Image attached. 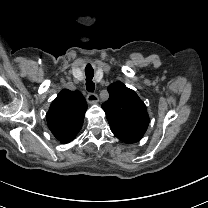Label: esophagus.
Segmentation results:
<instances>
[{"mask_svg": "<svg viewBox=\"0 0 208 208\" xmlns=\"http://www.w3.org/2000/svg\"><path fill=\"white\" fill-rule=\"evenodd\" d=\"M99 101V97L96 94L90 93L87 95V102L89 104H96Z\"/></svg>", "mask_w": 208, "mask_h": 208, "instance_id": "esophagus-1", "label": "esophagus"}]
</instances>
